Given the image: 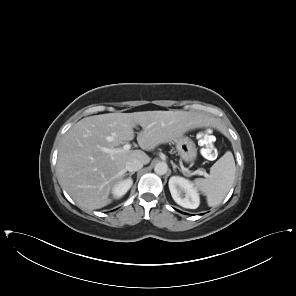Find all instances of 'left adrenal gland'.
I'll return each mask as SVG.
<instances>
[{"label":"left adrenal gland","instance_id":"obj_1","mask_svg":"<svg viewBox=\"0 0 296 296\" xmlns=\"http://www.w3.org/2000/svg\"><path fill=\"white\" fill-rule=\"evenodd\" d=\"M172 166H173V170L175 171V169H179V171H182L176 164H174L173 162H171Z\"/></svg>","mask_w":296,"mask_h":296}]
</instances>
